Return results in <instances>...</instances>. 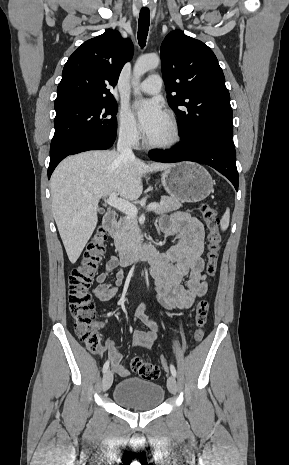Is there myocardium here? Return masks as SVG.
Instances as JSON below:
<instances>
[{
	"label": "myocardium",
	"mask_w": 289,
	"mask_h": 465,
	"mask_svg": "<svg viewBox=\"0 0 289 465\" xmlns=\"http://www.w3.org/2000/svg\"><path fill=\"white\" fill-rule=\"evenodd\" d=\"M166 120L169 126V135L163 141H151L146 137L144 143L152 149H170L176 146L181 140V132L177 120L171 113H166Z\"/></svg>",
	"instance_id": "obj_1"
}]
</instances>
